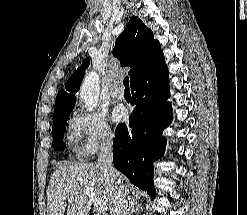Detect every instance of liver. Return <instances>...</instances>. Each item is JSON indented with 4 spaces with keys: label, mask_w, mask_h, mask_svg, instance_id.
<instances>
[{
    "label": "liver",
    "mask_w": 247,
    "mask_h": 215,
    "mask_svg": "<svg viewBox=\"0 0 247 215\" xmlns=\"http://www.w3.org/2000/svg\"><path fill=\"white\" fill-rule=\"evenodd\" d=\"M121 185L128 196L130 190L123 184L125 177L120 175ZM89 190L95 199L106 202L113 215V202L118 190L108 181L102 168L96 163H75L59 166L52 174L47 189L48 215H87L91 199L84 191ZM132 198L129 196V201Z\"/></svg>",
    "instance_id": "obj_1"
}]
</instances>
